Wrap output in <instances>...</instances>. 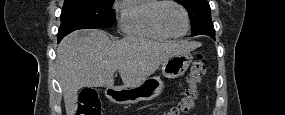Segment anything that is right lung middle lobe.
Masks as SVG:
<instances>
[{
  "instance_id": "right-lung-middle-lobe-1",
  "label": "right lung middle lobe",
  "mask_w": 285,
  "mask_h": 115,
  "mask_svg": "<svg viewBox=\"0 0 285 115\" xmlns=\"http://www.w3.org/2000/svg\"><path fill=\"white\" fill-rule=\"evenodd\" d=\"M114 0H65L61 12L58 39L83 28H107L115 21L111 9Z\"/></svg>"
}]
</instances>
